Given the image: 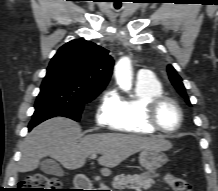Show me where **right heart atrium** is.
<instances>
[{"mask_svg":"<svg viewBox=\"0 0 218 191\" xmlns=\"http://www.w3.org/2000/svg\"><path fill=\"white\" fill-rule=\"evenodd\" d=\"M120 104V97L115 90L106 91L97 107L95 121L99 126H110Z\"/></svg>","mask_w":218,"mask_h":191,"instance_id":"right-heart-atrium-1","label":"right heart atrium"}]
</instances>
